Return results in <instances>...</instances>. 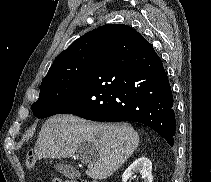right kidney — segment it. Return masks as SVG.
I'll return each instance as SVG.
<instances>
[{"instance_id": "obj_1", "label": "right kidney", "mask_w": 211, "mask_h": 182, "mask_svg": "<svg viewBox=\"0 0 211 182\" xmlns=\"http://www.w3.org/2000/svg\"><path fill=\"white\" fill-rule=\"evenodd\" d=\"M152 163L146 157L136 159L123 173L122 181L127 182L135 173H140L143 182H152Z\"/></svg>"}]
</instances>
